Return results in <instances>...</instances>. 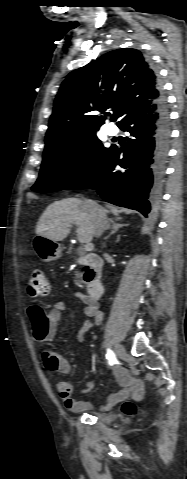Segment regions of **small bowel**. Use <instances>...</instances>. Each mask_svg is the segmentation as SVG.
I'll return each mask as SVG.
<instances>
[{"label":"small bowel","mask_w":187,"mask_h":479,"mask_svg":"<svg viewBox=\"0 0 187 479\" xmlns=\"http://www.w3.org/2000/svg\"><path fill=\"white\" fill-rule=\"evenodd\" d=\"M74 296L84 305L85 313L89 320L83 325L78 333L80 341L85 340L86 332L93 326L100 325L103 320V313L97 302L89 296L76 292ZM68 309L65 303H56L52 306L50 316L44 315L43 309L39 305H31L28 308V318L32 324L33 332L36 337L50 335L55 332L60 320L61 313ZM44 368L50 373H62L72 375L73 368L69 361L59 353L52 350H45L42 353ZM116 379L121 386V390L111 394L107 402L100 407L101 411H107L119 401L131 397L140 400L144 395V385L140 379L133 378L122 366H116L114 369ZM93 384L88 385L91 389ZM56 389L64 403V406L73 412L88 411L92 409V404L87 401H80L73 397V384L71 380H60L56 383Z\"/></svg>","instance_id":"1"}]
</instances>
